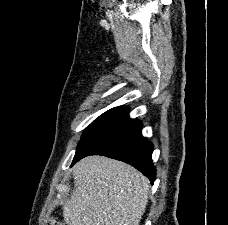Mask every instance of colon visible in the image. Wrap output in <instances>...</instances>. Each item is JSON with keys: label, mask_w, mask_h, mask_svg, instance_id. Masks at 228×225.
I'll return each mask as SVG.
<instances>
[{"label": "colon", "mask_w": 228, "mask_h": 225, "mask_svg": "<svg viewBox=\"0 0 228 225\" xmlns=\"http://www.w3.org/2000/svg\"><path fill=\"white\" fill-rule=\"evenodd\" d=\"M50 225H64L63 222L53 220L51 221Z\"/></svg>", "instance_id": "5ec220e1"}]
</instances>
